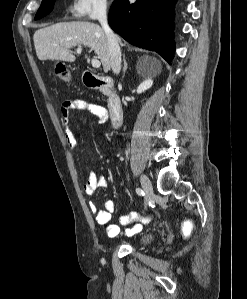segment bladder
Wrapping results in <instances>:
<instances>
[{
	"mask_svg": "<svg viewBox=\"0 0 247 299\" xmlns=\"http://www.w3.org/2000/svg\"><path fill=\"white\" fill-rule=\"evenodd\" d=\"M155 238V235L153 233H144L138 240V243L140 245H148L150 244Z\"/></svg>",
	"mask_w": 247,
	"mask_h": 299,
	"instance_id": "obj_1",
	"label": "bladder"
}]
</instances>
